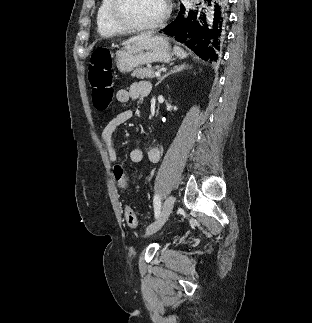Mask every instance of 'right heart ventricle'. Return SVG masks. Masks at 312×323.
Masks as SVG:
<instances>
[{
    "mask_svg": "<svg viewBox=\"0 0 312 323\" xmlns=\"http://www.w3.org/2000/svg\"><path fill=\"white\" fill-rule=\"evenodd\" d=\"M113 1H96L95 25L99 33H118L119 29H124V22H117Z\"/></svg>",
    "mask_w": 312,
    "mask_h": 323,
    "instance_id": "e07e8e85",
    "label": "right heart ventricle"
}]
</instances>
